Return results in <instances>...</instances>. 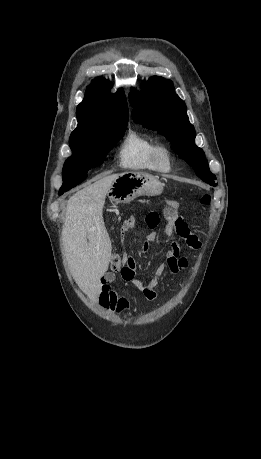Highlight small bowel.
<instances>
[{
    "instance_id": "small-bowel-1",
    "label": "small bowel",
    "mask_w": 261,
    "mask_h": 459,
    "mask_svg": "<svg viewBox=\"0 0 261 459\" xmlns=\"http://www.w3.org/2000/svg\"><path fill=\"white\" fill-rule=\"evenodd\" d=\"M136 226V218L130 216L122 225V234L132 230ZM174 231L183 238L187 245L191 248H198V238L192 234L185 223L183 230H177L173 222L168 221L165 227L166 235L171 239V248L165 255V260L155 270L154 275L151 279L141 281L135 277V260L132 257H124V266L120 271L121 279L128 285H131L137 289L147 300L155 301L157 298V285L160 276L168 270L172 274H178L187 267V259L180 254V246L173 239ZM157 239V233L151 231L146 236L145 241L142 244V250L146 252L149 248L150 243L155 242ZM113 273H107L102 277V287L98 296L100 305L111 312L117 314H123L127 311L130 305L129 297L126 294L120 293L111 288V284L115 280Z\"/></svg>"
}]
</instances>
